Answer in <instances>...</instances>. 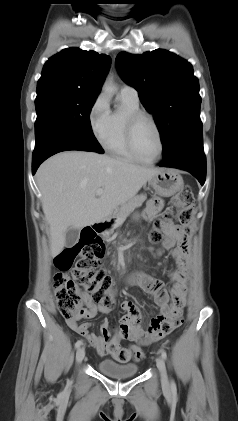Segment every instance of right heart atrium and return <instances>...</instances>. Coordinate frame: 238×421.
Instances as JSON below:
<instances>
[{
  "mask_svg": "<svg viewBox=\"0 0 238 421\" xmlns=\"http://www.w3.org/2000/svg\"><path fill=\"white\" fill-rule=\"evenodd\" d=\"M110 110L107 99L104 94H100L91 104L88 111V122L90 128L98 140L104 137L108 122Z\"/></svg>",
  "mask_w": 238,
  "mask_h": 421,
  "instance_id": "1",
  "label": "right heart atrium"
}]
</instances>
